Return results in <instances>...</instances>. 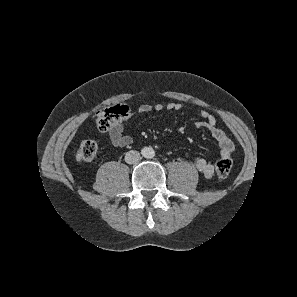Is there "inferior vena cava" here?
<instances>
[{
  "label": "inferior vena cava",
  "instance_id": "602c4592",
  "mask_svg": "<svg viewBox=\"0 0 297 297\" xmlns=\"http://www.w3.org/2000/svg\"><path fill=\"white\" fill-rule=\"evenodd\" d=\"M140 159V153L136 150H130L125 154V162L128 164H134Z\"/></svg>",
  "mask_w": 297,
  "mask_h": 297
}]
</instances>
